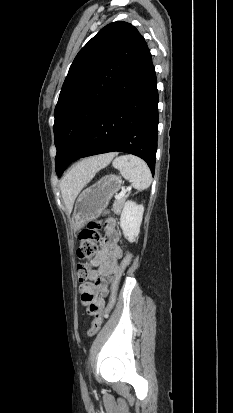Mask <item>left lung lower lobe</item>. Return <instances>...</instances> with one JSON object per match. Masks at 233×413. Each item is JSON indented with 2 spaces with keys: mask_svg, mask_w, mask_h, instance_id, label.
I'll use <instances>...</instances> for the list:
<instances>
[{
  "mask_svg": "<svg viewBox=\"0 0 233 413\" xmlns=\"http://www.w3.org/2000/svg\"><path fill=\"white\" fill-rule=\"evenodd\" d=\"M157 104L156 74L150 50L144 41L92 122L72 161L107 152H126L142 158L154 175Z\"/></svg>",
  "mask_w": 233,
  "mask_h": 413,
  "instance_id": "0a47b994",
  "label": "left lung lower lobe"
}]
</instances>
